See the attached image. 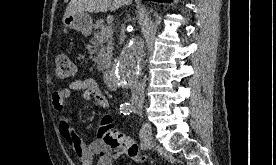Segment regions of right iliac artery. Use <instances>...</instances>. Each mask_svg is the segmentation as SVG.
I'll return each instance as SVG.
<instances>
[{
	"label": "right iliac artery",
	"mask_w": 276,
	"mask_h": 165,
	"mask_svg": "<svg viewBox=\"0 0 276 165\" xmlns=\"http://www.w3.org/2000/svg\"><path fill=\"white\" fill-rule=\"evenodd\" d=\"M133 111V107L129 103H124L120 105V112L123 115H129ZM140 138L142 142V147H146L148 144V139H147V134H146V129L145 125L142 126V129L140 130Z\"/></svg>",
	"instance_id": "82829eb1"
}]
</instances>
